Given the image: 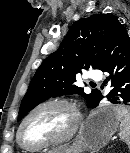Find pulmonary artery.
<instances>
[{"label":"pulmonary artery","mask_w":130,"mask_h":153,"mask_svg":"<svg viewBox=\"0 0 130 153\" xmlns=\"http://www.w3.org/2000/svg\"><path fill=\"white\" fill-rule=\"evenodd\" d=\"M89 77L93 82H97L102 79V73L98 70H94L90 72Z\"/></svg>","instance_id":"obj_1"}]
</instances>
